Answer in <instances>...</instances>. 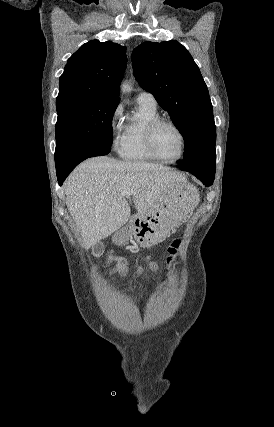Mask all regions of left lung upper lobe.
Wrapping results in <instances>:
<instances>
[{"mask_svg": "<svg viewBox=\"0 0 274 427\" xmlns=\"http://www.w3.org/2000/svg\"><path fill=\"white\" fill-rule=\"evenodd\" d=\"M134 76L166 110L184 138L178 165L215 174L216 128L212 104L200 70L177 41L145 42L132 52Z\"/></svg>", "mask_w": 274, "mask_h": 427, "instance_id": "obj_1", "label": "left lung upper lobe"}]
</instances>
